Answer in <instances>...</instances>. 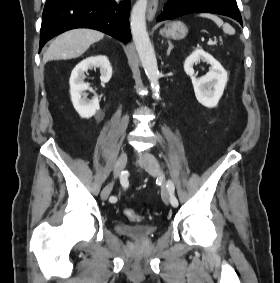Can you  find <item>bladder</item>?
<instances>
[{
  "mask_svg": "<svg viewBox=\"0 0 280 283\" xmlns=\"http://www.w3.org/2000/svg\"><path fill=\"white\" fill-rule=\"evenodd\" d=\"M115 230L119 234L129 238L143 241L150 238L156 231V226L153 224H128L124 222H117Z\"/></svg>",
  "mask_w": 280,
  "mask_h": 283,
  "instance_id": "31cf9c89",
  "label": "bladder"
}]
</instances>
